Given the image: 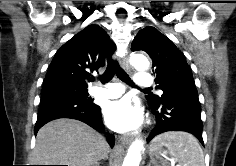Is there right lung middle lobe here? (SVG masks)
I'll list each match as a JSON object with an SVG mask.
<instances>
[{
  "mask_svg": "<svg viewBox=\"0 0 236 166\" xmlns=\"http://www.w3.org/2000/svg\"><path fill=\"white\" fill-rule=\"evenodd\" d=\"M87 87L69 86L64 93L58 95H47L42 92L41 100H51L53 98L71 99L79 103L89 104L91 98L88 97Z\"/></svg>",
  "mask_w": 236,
  "mask_h": 166,
  "instance_id": "obj_1",
  "label": "right lung middle lobe"
}]
</instances>
